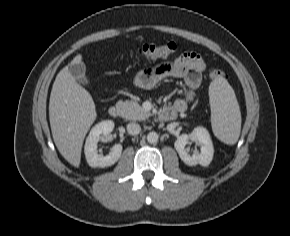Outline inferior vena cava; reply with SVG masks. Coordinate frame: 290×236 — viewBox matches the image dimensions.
<instances>
[{"mask_svg":"<svg viewBox=\"0 0 290 236\" xmlns=\"http://www.w3.org/2000/svg\"><path fill=\"white\" fill-rule=\"evenodd\" d=\"M140 131H141V127L139 124L134 123V122L127 124V132L130 135H137L140 133Z\"/></svg>","mask_w":290,"mask_h":236,"instance_id":"inferior-vena-cava-1","label":"inferior vena cava"}]
</instances>
